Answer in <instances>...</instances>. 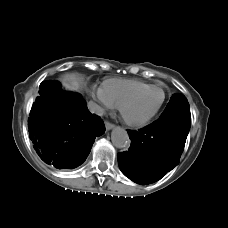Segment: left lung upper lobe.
<instances>
[{
  "label": "left lung upper lobe",
  "mask_w": 228,
  "mask_h": 228,
  "mask_svg": "<svg viewBox=\"0 0 228 228\" xmlns=\"http://www.w3.org/2000/svg\"><path fill=\"white\" fill-rule=\"evenodd\" d=\"M180 114H183V115H180ZM162 115L180 117L181 119H184L186 117L190 118L191 117L190 106L187 101V98L180 93L174 94L170 102L167 104Z\"/></svg>",
  "instance_id": "obj_1"
}]
</instances>
